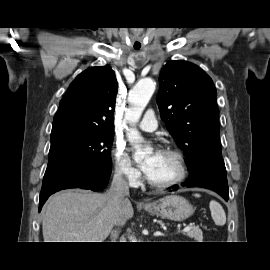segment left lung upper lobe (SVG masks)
Here are the masks:
<instances>
[{"mask_svg": "<svg viewBox=\"0 0 270 270\" xmlns=\"http://www.w3.org/2000/svg\"><path fill=\"white\" fill-rule=\"evenodd\" d=\"M157 104L166 128L187 157L189 177L209 163L224 164L217 91L197 65L170 61L161 70Z\"/></svg>", "mask_w": 270, "mask_h": 270, "instance_id": "left-lung-upper-lobe-1", "label": "left lung upper lobe"}]
</instances>
